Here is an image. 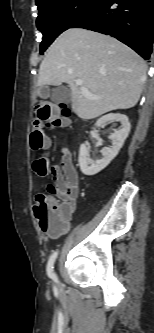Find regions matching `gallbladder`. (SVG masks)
Returning <instances> with one entry per match:
<instances>
[{"label":"gallbladder","instance_id":"gallbladder-1","mask_svg":"<svg viewBox=\"0 0 154 333\" xmlns=\"http://www.w3.org/2000/svg\"><path fill=\"white\" fill-rule=\"evenodd\" d=\"M70 90L65 86H57L50 91L49 87L43 86L39 90V96L42 99H47L48 97L55 103H68L70 100Z\"/></svg>","mask_w":154,"mask_h":333}]
</instances>
